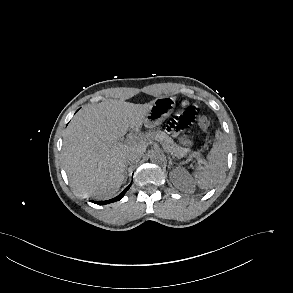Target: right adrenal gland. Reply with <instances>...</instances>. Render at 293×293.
I'll return each instance as SVG.
<instances>
[{
  "mask_svg": "<svg viewBox=\"0 0 293 293\" xmlns=\"http://www.w3.org/2000/svg\"><path fill=\"white\" fill-rule=\"evenodd\" d=\"M127 165H126V167H125V173H124V176H125V179L127 178Z\"/></svg>",
  "mask_w": 293,
  "mask_h": 293,
  "instance_id": "2a0ac1e0",
  "label": "right adrenal gland"
}]
</instances>
